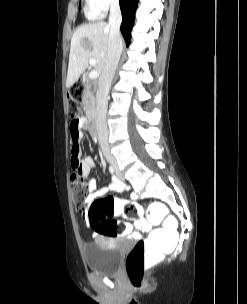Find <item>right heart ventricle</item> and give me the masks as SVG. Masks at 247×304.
I'll return each mask as SVG.
<instances>
[{
    "instance_id": "e07e8e85",
    "label": "right heart ventricle",
    "mask_w": 247,
    "mask_h": 304,
    "mask_svg": "<svg viewBox=\"0 0 247 304\" xmlns=\"http://www.w3.org/2000/svg\"><path fill=\"white\" fill-rule=\"evenodd\" d=\"M84 13L89 20H97L102 16V13L96 8L92 0H86Z\"/></svg>"
}]
</instances>
